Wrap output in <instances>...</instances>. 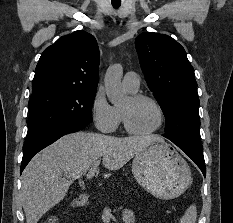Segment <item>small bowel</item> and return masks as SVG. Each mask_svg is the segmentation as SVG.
<instances>
[{"instance_id": "1", "label": "small bowel", "mask_w": 233, "mask_h": 223, "mask_svg": "<svg viewBox=\"0 0 233 223\" xmlns=\"http://www.w3.org/2000/svg\"><path fill=\"white\" fill-rule=\"evenodd\" d=\"M122 222L135 223V216L131 209L126 208L122 211Z\"/></svg>"}]
</instances>
